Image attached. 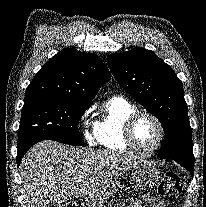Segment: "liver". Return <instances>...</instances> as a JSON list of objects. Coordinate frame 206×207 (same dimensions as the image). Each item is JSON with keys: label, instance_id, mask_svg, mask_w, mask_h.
Returning a JSON list of instances; mask_svg holds the SVG:
<instances>
[{"label": "liver", "instance_id": "1", "mask_svg": "<svg viewBox=\"0 0 206 207\" xmlns=\"http://www.w3.org/2000/svg\"><path fill=\"white\" fill-rule=\"evenodd\" d=\"M136 162L130 155L42 141L20 164L28 207H46L50 201L63 203L79 197H86L91 207H101L110 186Z\"/></svg>", "mask_w": 206, "mask_h": 207}]
</instances>
